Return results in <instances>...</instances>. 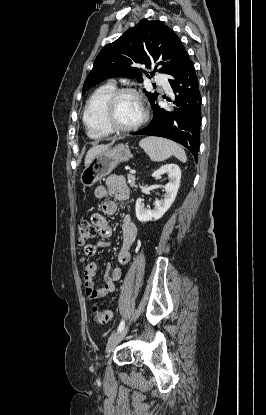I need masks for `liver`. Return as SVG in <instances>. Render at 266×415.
<instances>
[{
	"label": "liver",
	"mask_w": 266,
	"mask_h": 415,
	"mask_svg": "<svg viewBox=\"0 0 266 415\" xmlns=\"http://www.w3.org/2000/svg\"><path fill=\"white\" fill-rule=\"evenodd\" d=\"M108 147L109 145L102 144V145H97V146L90 148L85 157V161H84L85 165H88L94 159V157H96V155H98L99 153L107 149Z\"/></svg>",
	"instance_id": "6515ba94"
}]
</instances>
